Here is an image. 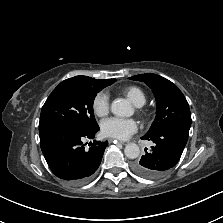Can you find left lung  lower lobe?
Here are the masks:
<instances>
[{"label":"left lung lower lobe","mask_w":223,"mask_h":223,"mask_svg":"<svg viewBox=\"0 0 223 223\" xmlns=\"http://www.w3.org/2000/svg\"><path fill=\"white\" fill-rule=\"evenodd\" d=\"M189 132L179 128H168L154 135H145L142 139L153 141L150 151L137 160L133 171L144 178L156 179L172 169L179 161L188 140Z\"/></svg>","instance_id":"obj_1"}]
</instances>
